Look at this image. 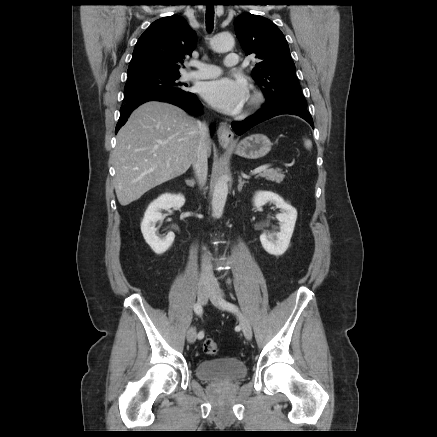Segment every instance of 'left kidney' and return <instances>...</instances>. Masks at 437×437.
I'll use <instances>...</instances> for the list:
<instances>
[{"label": "left kidney", "mask_w": 437, "mask_h": 437, "mask_svg": "<svg viewBox=\"0 0 437 437\" xmlns=\"http://www.w3.org/2000/svg\"><path fill=\"white\" fill-rule=\"evenodd\" d=\"M268 202L280 208L281 213L276 215L279 221L280 231L277 233L264 232L260 236V241L265 251L269 254L279 256L284 254L289 247L297 219V211L276 193L271 191H258L255 193L253 198L255 207L260 208Z\"/></svg>", "instance_id": "obj_1"}]
</instances>
